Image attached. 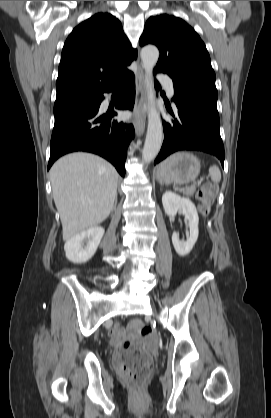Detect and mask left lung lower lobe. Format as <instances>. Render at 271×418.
<instances>
[{"label":"left lung lower lobe","mask_w":271,"mask_h":418,"mask_svg":"<svg viewBox=\"0 0 271 418\" xmlns=\"http://www.w3.org/2000/svg\"><path fill=\"white\" fill-rule=\"evenodd\" d=\"M155 87L160 88L157 81ZM217 97L216 94L194 86L174 83L173 101L178 110L174 119L163 121L164 142L154 164L181 150L210 153L224 164ZM167 109L173 115L171 108Z\"/></svg>","instance_id":"1"}]
</instances>
